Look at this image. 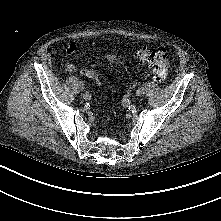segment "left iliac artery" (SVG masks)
<instances>
[{"label":"left iliac artery","mask_w":221,"mask_h":221,"mask_svg":"<svg viewBox=\"0 0 221 221\" xmlns=\"http://www.w3.org/2000/svg\"><path fill=\"white\" fill-rule=\"evenodd\" d=\"M121 104L124 108H129L131 107V102L128 94H125L121 100Z\"/></svg>","instance_id":"1"}]
</instances>
